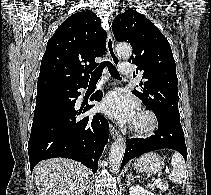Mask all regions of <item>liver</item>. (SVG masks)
Listing matches in <instances>:
<instances>
[{
	"label": "liver",
	"mask_w": 211,
	"mask_h": 195,
	"mask_svg": "<svg viewBox=\"0 0 211 195\" xmlns=\"http://www.w3.org/2000/svg\"><path fill=\"white\" fill-rule=\"evenodd\" d=\"M39 195H83L89 185V170L65 158L39 162L34 168Z\"/></svg>",
	"instance_id": "liver-1"
}]
</instances>
